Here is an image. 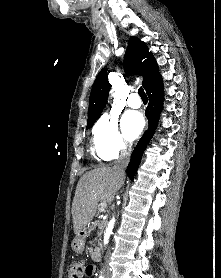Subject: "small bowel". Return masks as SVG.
<instances>
[{"mask_svg":"<svg viewBox=\"0 0 221 278\" xmlns=\"http://www.w3.org/2000/svg\"><path fill=\"white\" fill-rule=\"evenodd\" d=\"M91 266V271L90 273L87 275L88 278L92 277L96 271L95 267L93 265H90Z\"/></svg>","mask_w":221,"mask_h":278,"instance_id":"c3829d8e","label":"small bowel"}]
</instances>
